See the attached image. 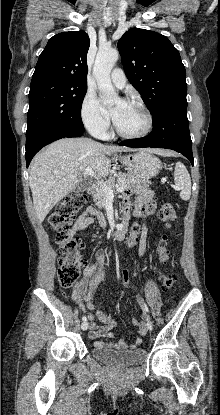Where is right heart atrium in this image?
Segmentation results:
<instances>
[{
    "label": "right heart atrium",
    "instance_id": "d8ad5b80",
    "mask_svg": "<svg viewBox=\"0 0 220 415\" xmlns=\"http://www.w3.org/2000/svg\"><path fill=\"white\" fill-rule=\"evenodd\" d=\"M81 120L84 127L96 137H106L110 122L99 99L93 91H86L80 108Z\"/></svg>",
    "mask_w": 220,
    "mask_h": 415
}]
</instances>
